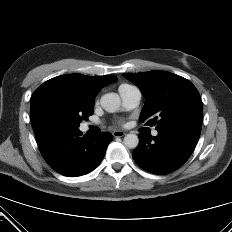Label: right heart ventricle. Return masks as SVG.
<instances>
[{
	"mask_svg": "<svg viewBox=\"0 0 232 232\" xmlns=\"http://www.w3.org/2000/svg\"><path fill=\"white\" fill-rule=\"evenodd\" d=\"M133 87H134V86H132V85H130V84H121V85L119 86V91L131 89V88H133Z\"/></svg>",
	"mask_w": 232,
	"mask_h": 232,
	"instance_id": "obj_1",
	"label": "right heart ventricle"
}]
</instances>
